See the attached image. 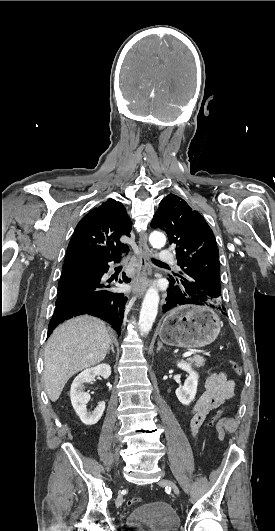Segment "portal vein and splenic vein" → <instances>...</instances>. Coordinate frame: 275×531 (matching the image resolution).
I'll list each match as a JSON object with an SVG mask.
<instances>
[{"label":"portal vein and splenic vein","instance_id":"portal-vein-and-splenic-vein-1","mask_svg":"<svg viewBox=\"0 0 275 531\" xmlns=\"http://www.w3.org/2000/svg\"><path fill=\"white\" fill-rule=\"evenodd\" d=\"M190 355H192V353H183V357H190Z\"/></svg>","mask_w":275,"mask_h":531}]
</instances>
